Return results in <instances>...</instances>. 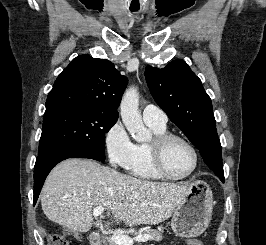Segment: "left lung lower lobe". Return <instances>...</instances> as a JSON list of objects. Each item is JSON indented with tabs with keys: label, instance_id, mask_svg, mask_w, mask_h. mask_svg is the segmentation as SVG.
<instances>
[{
	"label": "left lung lower lobe",
	"instance_id": "0a47b994",
	"mask_svg": "<svg viewBox=\"0 0 266 245\" xmlns=\"http://www.w3.org/2000/svg\"><path fill=\"white\" fill-rule=\"evenodd\" d=\"M220 179H221V181H222V182H224V181H225V179H224V178H220Z\"/></svg>",
	"mask_w": 266,
	"mask_h": 245
}]
</instances>
